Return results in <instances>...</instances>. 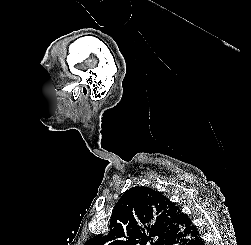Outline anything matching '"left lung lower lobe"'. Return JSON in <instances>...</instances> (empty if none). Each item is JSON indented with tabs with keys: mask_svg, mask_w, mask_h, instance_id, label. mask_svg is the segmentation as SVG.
Masks as SVG:
<instances>
[{
	"mask_svg": "<svg viewBox=\"0 0 251 245\" xmlns=\"http://www.w3.org/2000/svg\"><path fill=\"white\" fill-rule=\"evenodd\" d=\"M181 218L186 220V224L171 234L164 245H204L200 232L188 216L183 213Z\"/></svg>",
	"mask_w": 251,
	"mask_h": 245,
	"instance_id": "left-lung-lower-lobe-1",
	"label": "left lung lower lobe"
}]
</instances>
